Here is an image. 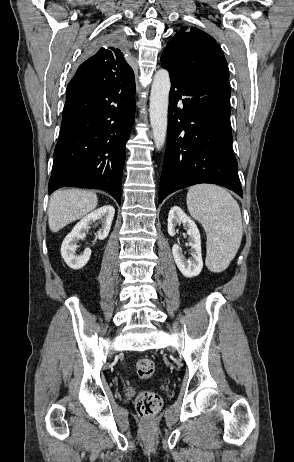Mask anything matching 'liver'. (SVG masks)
<instances>
[{
	"label": "liver",
	"instance_id": "liver-1",
	"mask_svg": "<svg viewBox=\"0 0 294 462\" xmlns=\"http://www.w3.org/2000/svg\"><path fill=\"white\" fill-rule=\"evenodd\" d=\"M98 198L94 192L65 189L54 192L48 207V224L52 232H58L69 223L81 219L94 210Z\"/></svg>",
	"mask_w": 294,
	"mask_h": 462
}]
</instances>
